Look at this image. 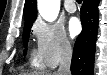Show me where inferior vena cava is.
Segmentation results:
<instances>
[{
	"mask_svg": "<svg viewBox=\"0 0 107 75\" xmlns=\"http://www.w3.org/2000/svg\"><path fill=\"white\" fill-rule=\"evenodd\" d=\"M71 60H72V48L70 44H65L62 50L59 68L57 75H71Z\"/></svg>",
	"mask_w": 107,
	"mask_h": 75,
	"instance_id": "1",
	"label": "inferior vena cava"
}]
</instances>
